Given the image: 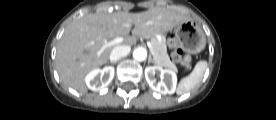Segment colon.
Instances as JSON below:
<instances>
[{
    "mask_svg": "<svg viewBox=\"0 0 276 120\" xmlns=\"http://www.w3.org/2000/svg\"><path fill=\"white\" fill-rule=\"evenodd\" d=\"M169 47L172 51V59L185 69L189 70L191 67V57L181 47H179L176 37L172 36L168 41Z\"/></svg>",
    "mask_w": 276,
    "mask_h": 120,
    "instance_id": "obj_1",
    "label": "colon"
}]
</instances>
